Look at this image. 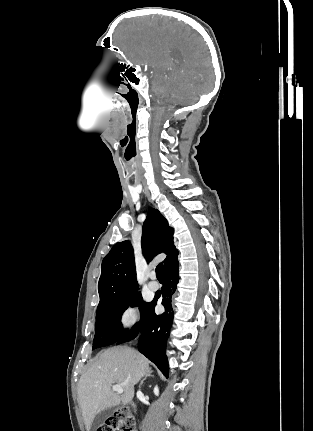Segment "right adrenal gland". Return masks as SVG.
<instances>
[{"label":"right adrenal gland","instance_id":"2a0ac1e0","mask_svg":"<svg viewBox=\"0 0 313 431\" xmlns=\"http://www.w3.org/2000/svg\"><path fill=\"white\" fill-rule=\"evenodd\" d=\"M148 377H153L151 368H149V369H148V371L146 372V374H145L144 378L141 380V382H140V384H139V388H141V386L143 385V382H144Z\"/></svg>","mask_w":313,"mask_h":431}]
</instances>
